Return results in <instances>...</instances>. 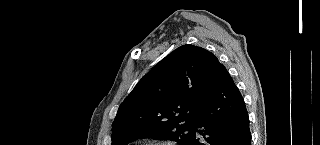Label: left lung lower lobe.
<instances>
[{
	"label": "left lung lower lobe",
	"mask_w": 320,
	"mask_h": 145,
	"mask_svg": "<svg viewBox=\"0 0 320 145\" xmlns=\"http://www.w3.org/2000/svg\"><path fill=\"white\" fill-rule=\"evenodd\" d=\"M203 93V107L187 145H250L245 102L221 63L210 72Z\"/></svg>",
	"instance_id": "1"
}]
</instances>
